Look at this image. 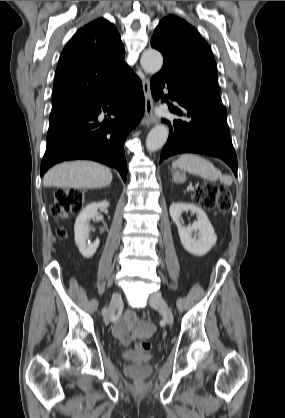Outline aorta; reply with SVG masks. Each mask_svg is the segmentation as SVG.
I'll return each mask as SVG.
<instances>
[{"mask_svg": "<svg viewBox=\"0 0 285 418\" xmlns=\"http://www.w3.org/2000/svg\"><path fill=\"white\" fill-rule=\"evenodd\" d=\"M140 64L145 72L155 74L162 68L163 57L159 51L148 49L142 54ZM168 135L169 129L167 126H155L146 138L147 150L150 152L159 150L166 143Z\"/></svg>", "mask_w": 285, "mask_h": 418, "instance_id": "1", "label": "aorta"}]
</instances>
